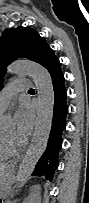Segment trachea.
Here are the masks:
<instances>
[{
	"instance_id": "trachea-1",
	"label": "trachea",
	"mask_w": 89,
	"mask_h": 203,
	"mask_svg": "<svg viewBox=\"0 0 89 203\" xmlns=\"http://www.w3.org/2000/svg\"><path fill=\"white\" fill-rule=\"evenodd\" d=\"M29 91H34L33 89H30Z\"/></svg>"
}]
</instances>
